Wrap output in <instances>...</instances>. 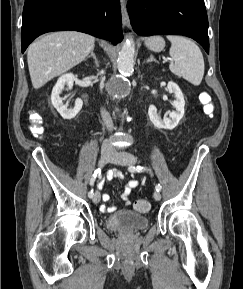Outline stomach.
I'll return each instance as SVG.
<instances>
[{
  "mask_svg": "<svg viewBox=\"0 0 243 289\" xmlns=\"http://www.w3.org/2000/svg\"><path fill=\"white\" fill-rule=\"evenodd\" d=\"M145 45L154 52H160L165 47V41L160 36H152L145 40Z\"/></svg>",
  "mask_w": 243,
  "mask_h": 289,
  "instance_id": "1",
  "label": "stomach"
}]
</instances>
